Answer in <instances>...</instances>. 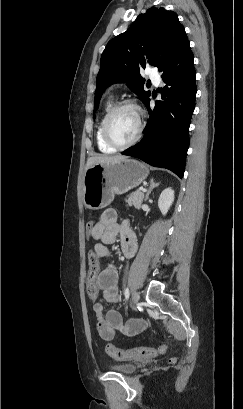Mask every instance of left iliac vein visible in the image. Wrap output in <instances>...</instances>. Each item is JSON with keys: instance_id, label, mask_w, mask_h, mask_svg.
Returning <instances> with one entry per match:
<instances>
[{"instance_id": "left-iliac-vein-1", "label": "left iliac vein", "mask_w": 243, "mask_h": 409, "mask_svg": "<svg viewBox=\"0 0 243 409\" xmlns=\"http://www.w3.org/2000/svg\"><path fill=\"white\" fill-rule=\"evenodd\" d=\"M138 301H139V297H138V294L135 292L133 294L132 304L135 306L138 303Z\"/></svg>"}]
</instances>
